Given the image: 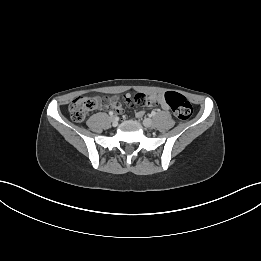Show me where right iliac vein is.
<instances>
[{
	"mask_svg": "<svg viewBox=\"0 0 261 261\" xmlns=\"http://www.w3.org/2000/svg\"><path fill=\"white\" fill-rule=\"evenodd\" d=\"M110 121L112 123L113 126H117L118 124V118L116 116H111L110 117Z\"/></svg>",
	"mask_w": 261,
	"mask_h": 261,
	"instance_id": "obj_1",
	"label": "right iliac vein"
}]
</instances>
